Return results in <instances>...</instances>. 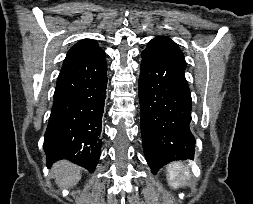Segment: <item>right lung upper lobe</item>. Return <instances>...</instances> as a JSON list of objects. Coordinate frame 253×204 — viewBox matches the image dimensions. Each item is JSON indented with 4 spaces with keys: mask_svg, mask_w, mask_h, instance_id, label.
Instances as JSON below:
<instances>
[{
    "mask_svg": "<svg viewBox=\"0 0 253 204\" xmlns=\"http://www.w3.org/2000/svg\"><path fill=\"white\" fill-rule=\"evenodd\" d=\"M98 50H101V48L92 39H84L79 41L67 53V56L63 62L62 69L73 65L77 61Z\"/></svg>",
    "mask_w": 253,
    "mask_h": 204,
    "instance_id": "obj_1",
    "label": "right lung upper lobe"
}]
</instances>
